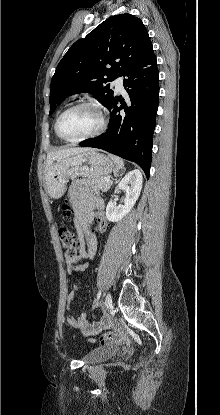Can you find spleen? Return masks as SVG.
<instances>
[{"label": "spleen", "instance_id": "1", "mask_svg": "<svg viewBox=\"0 0 220 415\" xmlns=\"http://www.w3.org/2000/svg\"><path fill=\"white\" fill-rule=\"evenodd\" d=\"M109 157L113 160V162L117 165L118 168H123L124 167V161L123 159H121L118 156L109 154Z\"/></svg>", "mask_w": 220, "mask_h": 415}]
</instances>
